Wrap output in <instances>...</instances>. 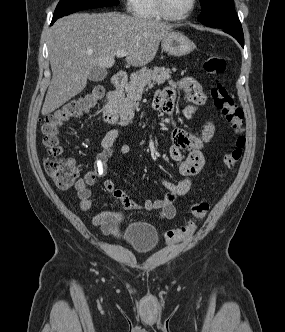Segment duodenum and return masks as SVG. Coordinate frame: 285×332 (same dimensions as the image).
I'll return each mask as SVG.
<instances>
[{
	"label": "duodenum",
	"mask_w": 285,
	"mask_h": 332,
	"mask_svg": "<svg viewBox=\"0 0 285 332\" xmlns=\"http://www.w3.org/2000/svg\"><path fill=\"white\" fill-rule=\"evenodd\" d=\"M127 83V75L124 72H118L112 80V89L106 95V102L102 107V117L107 124L115 125L118 123L116 112V100L120 91Z\"/></svg>",
	"instance_id": "410a0bca"
}]
</instances>
